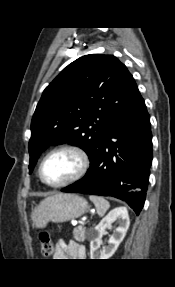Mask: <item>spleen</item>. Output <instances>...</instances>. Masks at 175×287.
<instances>
[{
    "mask_svg": "<svg viewBox=\"0 0 175 287\" xmlns=\"http://www.w3.org/2000/svg\"><path fill=\"white\" fill-rule=\"evenodd\" d=\"M89 199L94 203L100 216H103L110 207L109 202L101 196L90 195Z\"/></svg>",
    "mask_w": 175,
    "mask_h": 287,
    "instance_id": "obj_1",
    "label": "spleen"
}]
</instances>
